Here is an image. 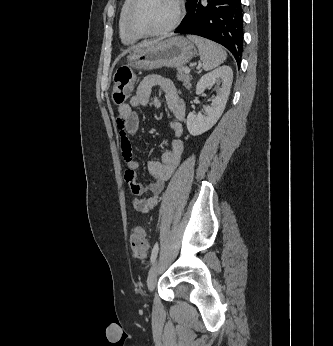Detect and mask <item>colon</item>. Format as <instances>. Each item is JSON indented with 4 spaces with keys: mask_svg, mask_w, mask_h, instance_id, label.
Returning <instances> with one entry per match:
<instances>
[{
    "mask_svg": "<svg viewBox=\"0 0 333 346\" xmlns=\"http://www.w3.org/2000/svg\"><path fill=\"white\" fill-rule=\"evenodd\" d=\"M132 91V71L128 66L120 67L114 76L113 99L123 104ZM130 248L136 258L144 259L148 251V239L143 228H136L130 236Z\"/></svg>",
    "mask_w": 333,
    "mask_h": 346,
    "instance_id": "obj_1",
    "label": "colon"
}]
</instances>
